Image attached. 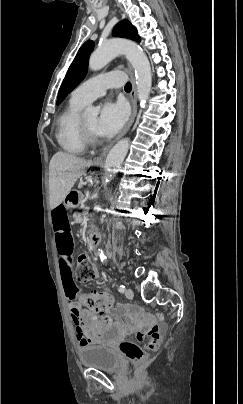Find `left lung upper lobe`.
<instances>
[{
	"label": "left lung upper lobe",
	"mask_w": 243,
	"mask_h": 404,
	"mask_svg": "<svg viewBox=\"0 0 243 404\" xmlns=\"http://www.w3.org/2000/svg\"><path fill=\"white\" fill-rule=\"evenodd\" d=\"M116 37H126L135 41H140L137 30L127 20L119 22L113 30ZM94 42L86 41L79 49L74 61L70 65L67 74L60 87L57 104H60L65 97L84 79L87 73L88 59L93 51Z\"/></svg>",
	"instance_id": "1"
}]
</instances>
